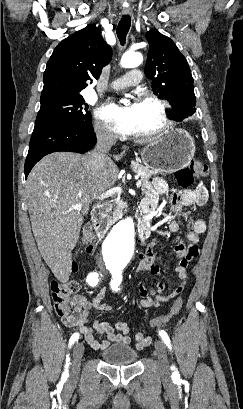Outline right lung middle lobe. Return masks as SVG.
I'll use <instances>...</instances> for the list:
<instances>
[{
    "label": "right lung middle lobe",
    "mask_w": 243,
    "mask_h": 409,
    "mask_svg": "<svg viewBox=\"0 0 243 409\" xmlns=\"http://www.w3.org/2000/svg\"><path fill=\"white\" fill-rule=\"evenodd\" d=\"M37 121L54 122L69 127L81 128L91 125V114L81 95L54 98L41 101Z\"/></svg>",
    "instance_id": "right-lung-middle-lobe-1"
}]
</instances>
